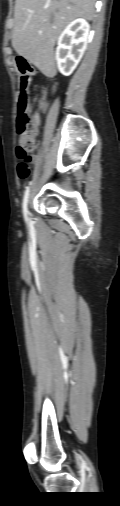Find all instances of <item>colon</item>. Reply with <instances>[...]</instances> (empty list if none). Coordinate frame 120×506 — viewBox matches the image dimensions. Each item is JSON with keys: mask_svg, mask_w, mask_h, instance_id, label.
I'll return each mask as SVG.
<instances>
[{"mask_svg": "<svg viewBox=\"0 0 120 506\" xmlns=\"http://www.w3.org/2000/svg\"><path fill=\"white\" fill-rule=\"evenodd\" d=\"M27 56L24 52H18L15 57L18 69L21 72L20 88L22 94L18 102V118H17V131L19 134V146L17 148V156L19 163L17 165V173L20 178H26L29 175L30 168L29 162L31 161V152L35 147V126L36 118L30 107L29 96L26 89L30 83V74L32 68L27 62Z\"/></svg>", "mask_w": 120, "mask_h": 506, "instance_id": "obj_1", "label": "colon"}]
</instances>
